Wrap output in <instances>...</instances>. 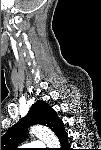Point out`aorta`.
Masks as SVG:
<instances>
[{"mask_svg": "<svg viewBox=\"0 0 101 150\" xmlns=\"http://www.w3.org/2000/svg\"><path fill=\"white\" fill-rule=\"evenodd\" d=\"M30 133L43 140L50 148H57L60 146L59 140L56 135L45 126H33L30 130Z\"/></svg>", "mask_w": 101, "mask_h": 150, "instance_id": "obj_1", "label": "aorta"}]
</instances>
